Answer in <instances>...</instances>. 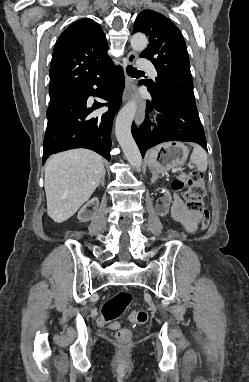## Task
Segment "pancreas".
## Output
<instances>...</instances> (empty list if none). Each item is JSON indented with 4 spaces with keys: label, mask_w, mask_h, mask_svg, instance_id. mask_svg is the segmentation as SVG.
Listing matches in <instances>:
<instances>
[{
    "label": "pancreas",
    "mask_w": 249,
    "mask_h": 382,
    "mask_svg": "<svg viewBox=\"0 0 249 382\" xmlns=\"http://www.w3.org/2000/svg\"><path fill=\"white\" fill-rule=\"evenodd\" d=\"M185 177H186L185 175H181V176L179 177V179H180V180H184Z\"/></svg>",
    "instance_id": "obj_1"
}]
</instances>
